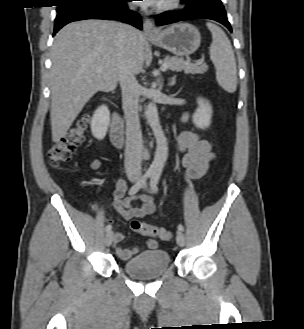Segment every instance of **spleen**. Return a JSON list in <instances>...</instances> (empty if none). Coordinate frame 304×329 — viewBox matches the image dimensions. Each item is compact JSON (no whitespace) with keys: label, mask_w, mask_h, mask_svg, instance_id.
I'll return each mask as SVG.
<instances>
[{"label":"spleen","mask_w":304,"mask_h":329,"mask_svg":"<svg viewBox=\"0 0 304 329\" xmlns=\"http://www.w3.org/2000/svg\"><path fill=\"white\" fill-rule=\"evenodd\" d=\"M206 25L213 39L209 51L216 68L217 82L225 91L234 93L237 88V69L231 43L220 27L212 23Z\"/></svg>","instance_id":"spleen-1"}]
</instances>
